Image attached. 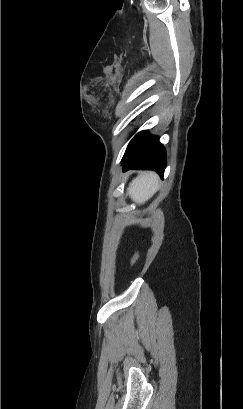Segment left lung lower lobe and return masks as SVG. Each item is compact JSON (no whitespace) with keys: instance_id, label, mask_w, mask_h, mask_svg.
I'll return each instance as SVG.
<instances>
[{"instance_id":"1","label":"left lung lower lobe","mask_w":243,"mask_h":409,"mask_svg":"<svg viewBox=\"0 0 243 409\" xmlns=\"http://www.w3.org/2000/svg\"><path fill=\"white\" fill-rule=\"evenodd\" d=\"M123 171L130 169L154 170L163 177L166 152L159 138L147 131L138 133L129 143L122 159Z\"/></svg>"}]
</instances>
